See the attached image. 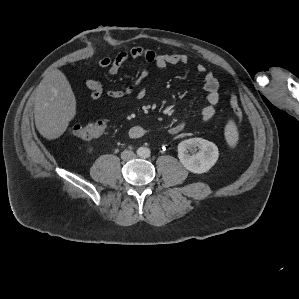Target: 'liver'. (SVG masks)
<instances>
[{
    "label": "liver",
    "instance_id": "6515ba94",
    "mask_svg": "<svg viewBox=\"0 0 299 299\" xmlns=\"http://www.w3.org/2000/svg\"><path fill=\"white\" fill-rule=\"evenodd\" d=\"M76 114V99L66 76L50 71L35 91L34 118L39 133L48 140L60 137Z\"/></svg>",
    "mask_w": 299,
    "mask_h": 299
}]
</instances>
